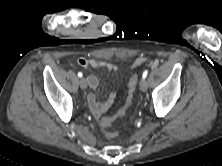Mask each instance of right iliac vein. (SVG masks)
Here are the masks:
<instances>
[{"mask_svg": "<svg viewBox=\"0 0 222 166\" xmlns=\"http://www.w3.org/2000/svg\"><path fill=\"white\" fill-rule=\"evenodd\" d=\"M79 84H80L81 89L84 90V89L87 88V81H86V79L84 77L80 79Z\"/></svg>", "mask_w": 222, "mask_h": 166, "instance_id": "right-iliac-vein-1", "label": "right iliac vein"}]
</instances>
